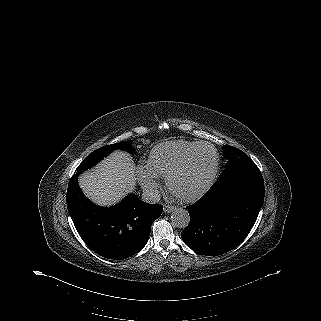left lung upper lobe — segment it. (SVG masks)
Instances as JSON below:
<instances>
[{"instance_id": "left-lung-upper-lobe-1", "label": "left lung upper lobe", "mask_w": 321, "mask_h": 321, "mask_svg": "<svg viewBox=\"0 0 321 321\" xmlns=\"http://www.w3.org/2000/svg\"><path fill=\"white\" fill-rule=\"evenodd\" d=\"M222 149L224 158L228 160L227 166L242 160L250 159L243 151L231 146H223Z\"/></svg>"}]
</instances>
